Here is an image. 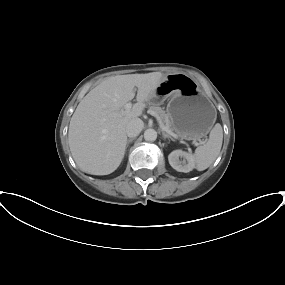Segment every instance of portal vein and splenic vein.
<instances>
[{"label": "portal vein and splenic vein", "mask_w": 285, "mask_h": 285, "mask_svg": "<svg viewBox=\"0 0 285 285\" xmlns=\"http://www.w3.org/2000/svg\"><path fill=\"white\" fill-rule=\"evenodd\" d=\"M131 107H132V104H131L130 102H129V103H126V104L124 105V110H123V111H124V112H127V111H129V110L131 109ZM149 113L157 119V121H158L160 127H161L164 131H166L168 134H170V135H172L173 137L176 138L175 133H173L167 126H165V125L163 124L161 118L159 117V115H158L156 112H154V111H149ZM198 144H199V143H196V145H198ZM200 144H204V142H200Z\"/></svg>", "instance_id": "18ae733b"}]
</instances>
